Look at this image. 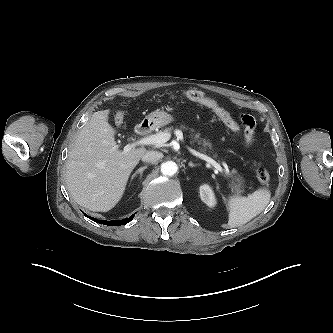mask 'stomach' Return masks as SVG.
Returning <instances> with one entry per match:
<instances>
[{"instance_id":"0dacf381","label":"stomach","mask_w":333,"mask_h":333,"mask_svg":"<svg viewBox=\"0 0 333 333\" xmlns=\"http://www.w3.org/2000/svg\"><path fill=\"white\" fill-rule=\"evenodd\" d=\"M174 120L175 118L173 115L163 110H155L145 117V121L147 122V124L152 126L153 128L162 127L171 123Z\"/></svg>"}]
</instances>
